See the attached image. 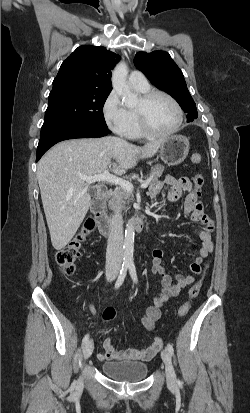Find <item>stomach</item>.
<instances>
[{
	"label": "stomach",
	"mask_w": 250,
	"mask_h": 413,
	"mask_svg": "<svg viewBox=\"0 0 250 413\" xmlns=\"http://www.w3.org/2000/svg\"><path fill=\"white\" fill-rule=\"evenodd\" d=\"M189 152V140L182 135H173L162 140L159 148L161 160L168 165H178Z\"/></svg>",
	"instance_id": "1"
}]
</instances>
